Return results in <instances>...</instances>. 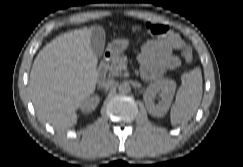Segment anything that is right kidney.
I'll use <instances>...</instances> for the list:
<instances>
[{"label":"right kidney","mask_w":243,"mask_h":167,"mask_svg":"<svg viewBox=\"0 0 243 167\" xmlns=\"http://www.w3.org/2000/svg\"><path fill=\"white\" fill-rule=\"evenodd\" d=\"M99 103V97L98 96H93L88 99H86L83 104L81 105V110L82 112H91L94 110Z\"/></svg>","instance_id":"1"}]
</instances>
